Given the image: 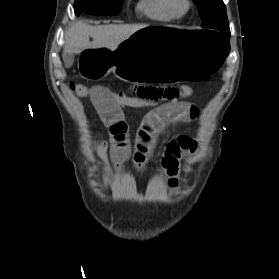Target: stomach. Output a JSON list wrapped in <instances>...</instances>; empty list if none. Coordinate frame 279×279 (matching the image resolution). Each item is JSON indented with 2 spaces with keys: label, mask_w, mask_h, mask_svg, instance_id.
<instances>
[{
  "label": "stomach",
  "mask_w": 279,
  "mask_h": 279,
  "mask_svg": "<svg viewBox=\"0 0 279 279\" xmlns=\"http://www.w3.org/2000/svg\"><path fill=\"white\" fill-rule=\"evenodd\" d=\"M227 34L176 25H140L115 47L80 50L76 75L84 82H104L119 75L131 87H175V82H214L231 55Z\"/></svg>",
  "instance_id": "1"
}]
</instances>
